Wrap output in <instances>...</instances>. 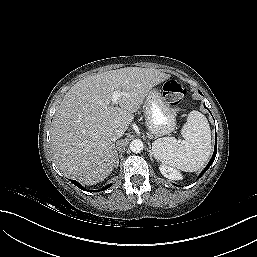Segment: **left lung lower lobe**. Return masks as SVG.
<instances>
[{"instance_id": "obj_1", "label": "left lung lower lobe", "mask_w": 257, "mask_h": 257, "mask_svg": "<svg viewBox=\"0 0 257 257\" xmlns=\"http://www.w3.org/2000/svg\"><path fill=\"white\" fill-rule=\"evenodd\" d=\"M205 107V105H204ZM207 108V107H205ZM208 109V108H207ZM209 110V109H208ZM216 153H217V138H216V132H215V147H214V153H213V156L211 158V160L209 161V163L207 164V166L205 167V169L200 173L199 177L200 178L208 169L209 167L211 166V164L214 162V159L216 157Z\"/></svg>"}]
</instances>
